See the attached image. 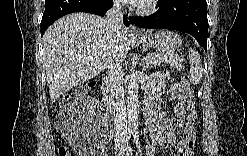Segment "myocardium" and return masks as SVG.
<instances>
[{
  "instance_id": "obj_1",
  "label": "myocardium",
  "mask_w": 247,
  "mask_h": 156,
  "mask_svg": "<svg viewBox=\"0 0 247 156\" xmlns=\"http://www.w3.org/2000/svg\"><path fill=\"white\" fill-rule=\"evenodd\" d=\"M155 2L154 1H146L144 4H141L137 12L142 15L150 14L154 11Z\"/></svg>"
}]
</instances>
